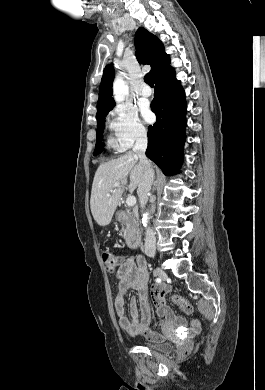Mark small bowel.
Here are the masks:
<instances>
[{"mask_svg":"<svg viewBox=\"0 0 265 390\" xmlns=\"http://www.w3.org/2000/svg\"><path fill=\"white\" fill-rule=\"evenodd\" d=\"M119 268L116 272L117 291L114 300L115 313L120 328L129 336L144 335L147 338L159 339L162 336L151 327V303L155 306L157 314L165 317L167 322L176 324L184 328L188 335H195L201 330V323L192 320L186 326V321L182 317L176 316L166 305L165 295L167 288L164 285H154L149 291L147 262L142 255H132L126 258L120 257ZM129 289L137 291V296H133L129 303L130 318L125 310V297ZM138 304L140 309L138 308ZM139 313L141 317L139 318Z\"/></svg>","mask_w":265,"mask_h":390,"instance_id":"small-bowel-1","label":"small bowel"}]
</instances>
